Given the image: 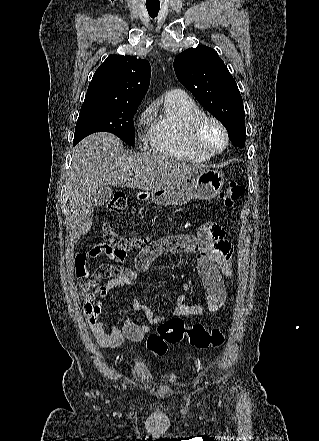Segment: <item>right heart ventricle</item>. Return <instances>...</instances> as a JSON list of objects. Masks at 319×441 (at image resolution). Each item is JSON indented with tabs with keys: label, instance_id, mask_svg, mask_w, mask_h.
<instances>
[{
	"label": "right heart ventricle",
	"instance_id": "1",
	"mask_svg": "<svg viewBox=\"0 0 319 441\" xmlns=\"http://www.w3.org/2000/svg\"><path fill=\"white\" fill-rule=\"evenodd\" d=\"M203 115L204 111L188 96H166L163 112L151 124L150 150L190 162L209 160L211 156L195 150L189 140L192 123Z\"/></svg>",
	"mask_w": 319,
	"mask_h": 441
}]
</instances>
